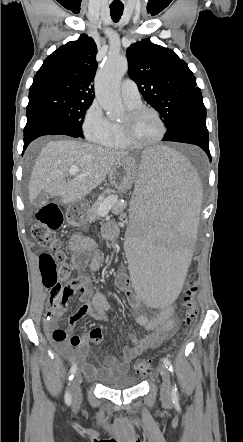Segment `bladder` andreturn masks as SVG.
<instances>
[{
    "label": "bladder",
    "mask_w": 243,
    "mask_h": 442,
    "mask_svg": "<svg viewBox=\"0 0 243 442\" xmlns=\"http://www.w3.org/2000/svg\"><path fill=\"white\" fill-rule=\"evenodd\" d=\"M99 384L106 389L124 390L135 387L139 380L127 372L111 374L105 378L99 379Z\"/></svg>",
    "instance_id": "obj_1"
}]
</instances>
